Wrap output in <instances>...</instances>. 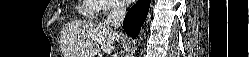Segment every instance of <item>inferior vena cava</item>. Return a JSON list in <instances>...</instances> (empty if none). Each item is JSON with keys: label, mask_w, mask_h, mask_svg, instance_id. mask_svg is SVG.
I'll return each instance as SVG.
<instances>
[{"label": "inferior vena cava", "mask_w": 249, "mask_h": 57, "mask_svg": "<svg viewBox=\"0 0 249 57\" xmlns=\"http://www.w3.org/2000/svg\"><path fill=\"white\" fill-rule=\"evenodd\" d=\"M126 14L125 3L119 1L113 7V9L108 13L107 18L104 20L103 25L107 27H113L114 29L119 28L123 23Z\"/></svg>", "instance_id": "602c4592"}]
</instances>
